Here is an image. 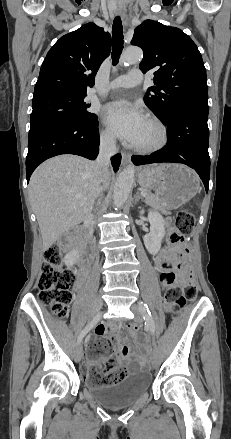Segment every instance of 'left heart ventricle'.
Masks as SVG:
<instances>
[{"mask_svg":"<svg viewBox=\"0 0 231 439\" xmlns=\"http://www.w3.org/2000/svg\"><path fill=\"white\" fill-rule=\"evenodd\" d=\"M157 139H158V131L156 127L147 121L136 145L152 144Z\"/></svg>","mask_w":231,"mask_h":439,"instance_id":"left-heart-ventricle-1","label":"left heart ventricle"}]
</instances>
